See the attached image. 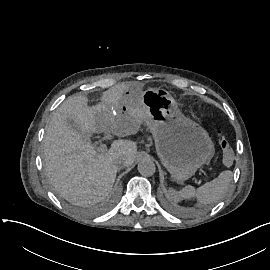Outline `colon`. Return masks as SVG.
Returning <instances> with one entry per match:
<instances>
[{
	"mask_svg": "<svg viewBox=\"0 0 270 270\" xmlns=\"http://www.w3.org/2000/svg\"><path fill=\"white\" fill-rule=\"evenodd\" d=\"M217 133L220 134L221 130H217ZM218 144L223 149L224 152L222 154V162L226 166H231L235 162V156L233 155L231 143L227 138L220 135L218 139Z\"/></svg>",
	"mask_w": 270,
	"mask_h": 270,
	"instance_id": "5ec220e1",
	"label": "colon"
}]
</instances>
